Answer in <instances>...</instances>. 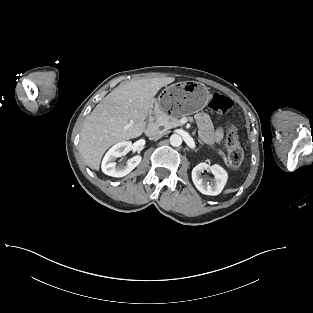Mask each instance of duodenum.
Segmentation results:
<instances>
[{"instance_id": "1", "label": "duodenum", "mask_w": 313, "mask_h": 313, "mask_svg": "<svg viewBox=\"0 0 313 313\" xmlns=\"http://www.w3.org/2000/svg\"><path fill=\"white\" fill-rule=\"evenodd\" d=\"M159 128L158 117L157 115H153L149 121V124L146 128V134L149 137H153L157 134Z\"/></svg>"}]
</instances>
